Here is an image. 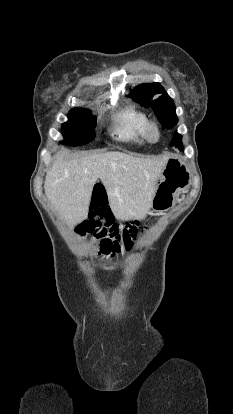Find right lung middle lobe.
I'll use <instances>...</instances> for the list:
<instances>
[{"mask_svg":"<svg viewBox=\"0 0 233 414\" xmlns=\"http://www.w3.org/2000/svg\"><path fill=\"white\" fill-rule=\"evenodd\" d=\"M96 118L87 109L74 108L68 114V121L62 125L64 141L61 144L83 145L95 137Z\"/></svg>","mask_w":233,"mask_h":414,"instance_id":"right-lung-middle-lobe-1","label":"right lung middle lobe"}]
</instances>
